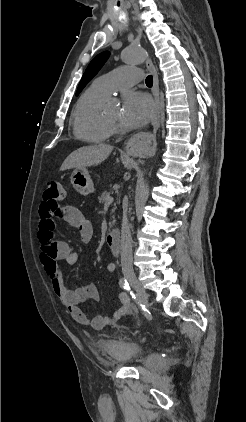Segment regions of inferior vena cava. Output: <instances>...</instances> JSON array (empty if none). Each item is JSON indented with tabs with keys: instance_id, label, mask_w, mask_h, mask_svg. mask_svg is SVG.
<instances>
[{
	"instance_id": "inferior-vena-cava-1",
	"label": "inferior vena cava",
	"mask_w": 246,
	"mask_h": 422,
	"mask_svg": "<svg viewBox=\"0 0 246 422\" xmlns=\"http://www.w3.org/2000/svg\"><path fill=\"white\" fill-rule=\"evenodd\" d=\"M123 218L121 227V266L124 272H133L132 266V238L127 218V197L124 199Z\"/></svg>"
}]
</instances>
